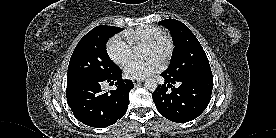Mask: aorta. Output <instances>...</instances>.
I'll use <instances>...</instances> for the list:
<instances>
[{
  "label": "aorta",
  "instance_id": "1",
  "mask_svg": "<svg viewBox=\"0 0 276 138\" xmlns=\"http://www.w3.org/2000/svg\"><path fill=\"white\" fill-rule=\"evenodd\" d=\"M144 87L149 91H155L157 88V81L154 78H148L144 82Z\"/></svg>",
  "mask_w": 276,
  "mask_h": 138
}]
</instances>
